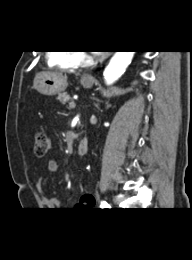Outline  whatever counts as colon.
<instances>
[{
	"mask_svg": "<svg viewBox=\"0 0 192 260\" xmlns=\"http://www.w3.org/2000/svg\"><path fill=\"white\" fill-rule=\"evenodd\" d=\"M50 145V140L44 131L36 130L34 132V152L36 156H44L50 149Z\"/></svg>",
	"mask_w": 192,
	"mask_h": 260,
	"instance_id": "colon-1",
	"label": "colon"
}]
</instances>
